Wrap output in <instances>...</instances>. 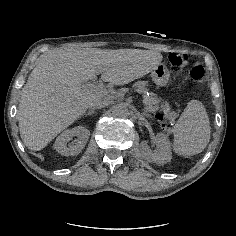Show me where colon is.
<instances>
[{"mask_svg": "<svg viewBox=\"0 0 236 236\" xmlns=\"http://www.w3.org/2000/svg\"><path fill=\"white\" fill-rule=\"evenodd\" d=\"M189 61V56L182 52H171L168 55V62L176 72H180V69L185 66ZM206 75V70L203 64L196 61L192 64L189 70V77L192 81L199 82Z\"/></svg>", "mask_w": 236, "mask_h": 236, "instance_id": "5ec220e1", "label": "colon"}]
</instances>
